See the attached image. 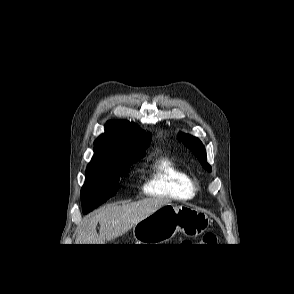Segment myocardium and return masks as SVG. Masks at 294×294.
I'll list each match as a JSON object with an SVG mask.
<instances>
[{
    "label": "myocardium",
    "instance_id": "1",
    "mask_svg": "<svg viewBox=\"0 0 294 294\" xmlns=\"http://www.w3.org/2000/svg\"><path fill=\"white\" fill-rule=\"evenodd\" d=\"M198 188H199L198 182L195 180H191V191L195 193L197 192Z\"/></svg>",
    "mask_w": 294,
    "mask_h": 294
}]
</instances>
